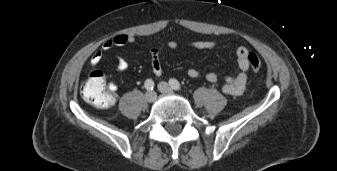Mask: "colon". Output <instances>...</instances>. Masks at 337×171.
<instances>
[{"label":"colon","instance_id":"1","mask_svg":"<svg viewBox=\"0 0 337 171\" xmlns=\"http://www.w3.org/2000/svg\"><path fill=\"white\" fill-rule=\"evenodd\" d=\"M248 61L252 71L258 72L261 69V60L255 53L248 54ZM81 95L86 102L100 109L112 106L115 100L98 68L92 70L91 77L81 89Z\"/></svg>","mask_w":337,"mask_h":171}]
</instances>
